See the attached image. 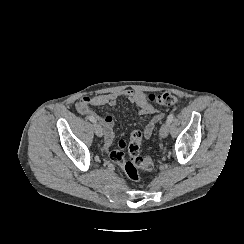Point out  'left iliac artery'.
<instances>
[{
    "label": "left iliac artery",
    "instance_id": "44dca946",
    "mask_svg": "<svg viewBox=\"0 0 244 244\" xmlns=\"http://www.w3.org/2000/svg\"><path fill=\"white\" fill-rule=\"evenodd\" d=\"M174 119V113H170L167 117V123L171 124V122L173 121Z\"/></svg>",
    "mask_w": 244,
    "mask_h": 244
}]
</instances>
